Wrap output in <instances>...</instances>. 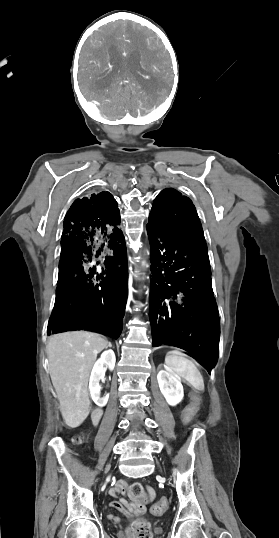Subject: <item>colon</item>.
I'll use <instances>...</instances> for the list:
<instances>
[{
    "instance_id": "obj_1",
    "label": "colon",
    "mask_w": 279,
    "mask_h": 538,
    "mask_svg": "<svg viewBox=\"0 0 279 538\" xmlns=\"http://www.w3.org/2000/svg\"><path fill=\"white\" fill-rule=\"evenodd\" d=\"M82 441L81 436L74 438L75 443H80ZM131 495L135 498H141L144 494L143 488L140 484L135 483L130 487ZM168 509V501L165 497L159 498L152 507V512L156 516H161L165 514ZM129 535L134 538H151L149 527L147 524H139L138 526L132 528L129 531Z\"/></svg>"
}]
</instances>
